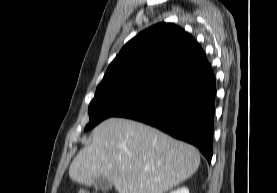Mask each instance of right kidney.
<instances>
[{"label":"right kidney","instance_id":"1","mask_svg":"<svg viewBox=\"0 0 277 193\" xmlns=\"http://www.w3.org/2000/svg\"><path fill=\"white\" fill-rule=\"evenodd\" d=\"M170 193H189V189L186 187L179 188L177 190L171 191Z\"/></svg>","mask_w":277,"mask_h":193}]
</instances>
